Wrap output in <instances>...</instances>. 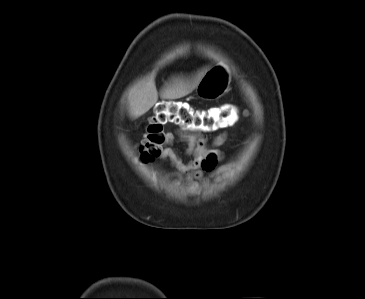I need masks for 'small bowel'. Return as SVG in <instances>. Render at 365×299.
Returning <instances> with one entry per match:
<instances>
[{"mask_svg":"<svg viewBox=\"0 0 365 299\" xmlns=\"http://www.w3.org/2000/svg\"><path fill=\"white\" fill-rule=\"evenodd\" d=\"M228 139L226 132H221L208 142L204 131L189 132L177 130L165 136L166 147L161 150L159 158L168 159L175 169L177 182L188 190H200L206 180L207 173H215L216 163L222 159L223 153L218 150ZM177 142L185 143L183 151L172 147ZM191 156L190 161H183L181 155Z\"/></svg>","mask_w":365,"mask_h":299,"instance_id":"c3829d8e","label":"small bowel"}]
</instances>
